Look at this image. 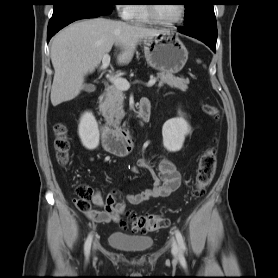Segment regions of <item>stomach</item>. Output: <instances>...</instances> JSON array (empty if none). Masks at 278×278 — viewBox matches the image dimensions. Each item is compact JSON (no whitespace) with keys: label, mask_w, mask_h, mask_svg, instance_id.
Masks as SVG:
<instances>
[{"label":"stomach","mask_w":278,"mask_h":278,"mask_svg":"<svg viewBox=\"0 0 278 278\" xmlns=\"http://www.w3.org/2000/svg\"><path fill=\"white\" fill-rule=\"evenodd\" d=\"M144 54L149 66L161 73L181 71L188 59V51L177 36L162 32L143 40Z\"/></svg>","instance_id":"obj_1"}]
</instances>
